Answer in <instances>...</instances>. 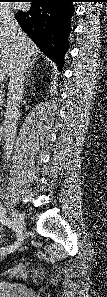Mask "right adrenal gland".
<instances>
[{
	"label": "right adrenal gland",
	"mask_w": 107,
	"mask_h": 297,
	"mask_svg": "<svg viewBox=\"0 0 107 297\" xmlns=\"http://www.w3.org/2000/svg\"><path fill=\"white\" fill-rule=\"evenodd\" d=\"M32 69H33V65H31L30 67H29V70H28V72H27V75H26V85H28V83H29V81H30V77H31V75H32Z\"/></svg>",
	"instance_id": "1"
}]
</instances>
